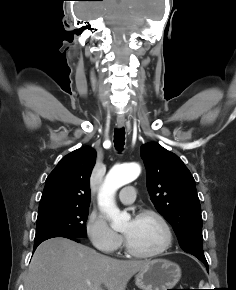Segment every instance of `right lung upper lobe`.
Here are the masks:
<instances>
[{"label":"right lung upper lobe","mask_w":236,"mask_h":290,"mask_svg":"<svg viewBox=\"0 0 236 290\" xmlns=\"http://www.w3.org/2000/svg\"><path fill=\"white\" fill-rule=\"evenodd\" d=\"M96 160L91 147L63 157L47 177L39 209L51 206L89 207L90 175Z\"/></svg>","instance_id":"cb5924a9"}]
</instances>
